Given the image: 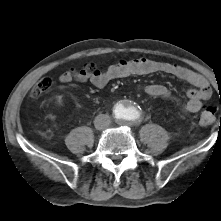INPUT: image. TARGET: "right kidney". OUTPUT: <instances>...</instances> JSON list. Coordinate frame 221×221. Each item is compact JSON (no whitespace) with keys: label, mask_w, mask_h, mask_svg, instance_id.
<instances>
[{"label":"right kidney","mask_w":221,"mask_h":221,"mask_svg":"<svg viewBox=\"0 0 221 221\" xmlns=\"http://www.w3.org/2000/svg\"><path fill=\"white\" fill-rule=\"evenodd\" d=\"M62 102H63L62 96H57L56 103H57L58 105H61Z\"/></svg>","instance_id":"obj_1"}]
</instances>
